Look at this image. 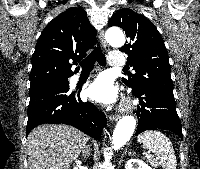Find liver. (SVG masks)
<instances>
[{
    "mask_svg": "<svg viewBox=\"0 0 200 169\" xmlns=\"http://www.w3.org/2000/svg\"><path fill=\"white\" fill-rule=\"evenodd\" d=\"M88 137L68 125H40L27 137L29 169H68Z\"/></svg>",
    "mask_w": 200,
    "mask_h": 169,
    "instance_id": "liver-1",
    "label": "liver"
}]
</instances>
